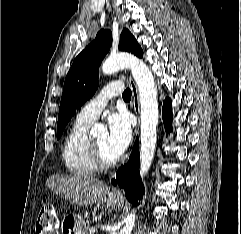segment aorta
<instances>
[{
  "label": "aorta",
  "instance_id": "762f6f07",
  "mask_svg": "<svg viewBox=\"0 0 241 234\" xmlns=\"http://www.w3.org/2000/svg\"><path fill=\"white\" fill-rule=\"evenodd\" d=\"M124 68L131 70L139 89L141 115L140 175L144 177L151 167L157 143L159 117L157 88L153 74L148 66L131 54L120 53L110 56L101 67L105 75L113 74ZM101 129L102 126L96 124L91 133L96 134ZM135 219V213L131 212L125 219V226L120 230L119 234H131Z\"/></svg>",
  "mask_w": 241,
  "mask_h": 234
}]
</instances>
